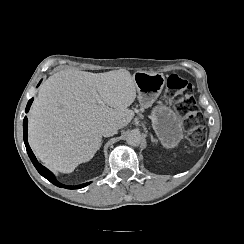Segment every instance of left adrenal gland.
Returning a JSON list of instances; mask_svg holds the SVG:
<instances>
[{
  "instance_id": "a2214340",
  "label": "left adrenal gland",
  "mask_w": 244,
  "mask_h": 244,
  "mask_svg": "<svg viewBox=\"0 0 244 244\" xmlns=\"http://www.w3.org/2000/svg\"><path fill=\"white\" fill-rule=\"evenodd\" d=\"M150 136H151V141H152L153 143L157 144V141L154 140L153 136H152V135H150Z\"/></svg>"
}]
</instances>
